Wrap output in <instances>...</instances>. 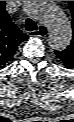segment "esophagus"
I'll use <instances>...</instances> for the list:
<instances>
[{
  "label": "esophagus",
  "instance_id": "esophagus-1",
  "mask_svg": "<svg viewBox=\"0 0 74 122\" xmlns=\"http://www.w3.org/2000/svg\"><path fill=\"white\" fill-rule=\"evenodd\" d=\"M29 34L32 37H44L48 34V29L44 25H39L36 31H30Z\"/></svg>",
  "mask_w": 74,
  "mask_h": 122
}]
</instances>
